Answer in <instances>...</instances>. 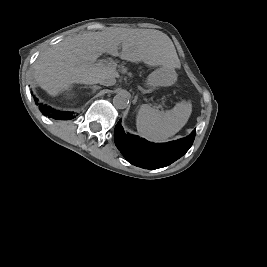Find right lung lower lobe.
Segmentation results:
<instances>
[{
	"mask_svg": "<svg viewBox=\"0 0 267 267\" xmlns=\"http://www.w3.org/2000/svg\"><path fill=\"white\" fill-rule=\"evenodd\" d=\"M37 102V99L35 100ZM40 110L43 113V115H46L48 117L57 119V120H69L74 118L73 112H61V111H56L53 108L43 105H40Z\"/></svg>",
	"mask_w": 267,
	"mask_h": 267,
	"instance_id": "1",
	"label": "right lung lower lobe"
}]
</instances>
